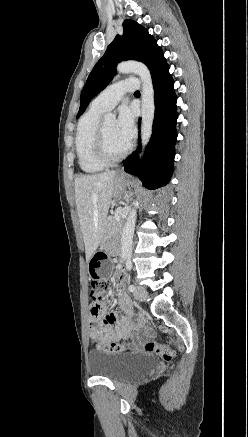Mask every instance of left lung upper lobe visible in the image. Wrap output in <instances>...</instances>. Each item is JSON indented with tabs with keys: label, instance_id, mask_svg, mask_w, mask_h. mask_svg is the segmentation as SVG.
<instances>
[{
	"label": "left lung upper lobe",
	"instance_id": "5c2ea615",
	"mask_svg": "<svg viewBox=\"0 0 248 437\" xmlns=\"http://www.w3.org/2000/svg\"><path fill=\"white\" fill-rule=\"evenodd\" d=\"M125 60L143 62L152 77L167 65L162 50L148 31L135 21L125 20L123 35L115 37L87 78L77 118L83 114L91 99L112 80L116 74V65Z\"/></svg>",
	"mask_w": 248,
	"mask_h": 437
}]
</instances>
